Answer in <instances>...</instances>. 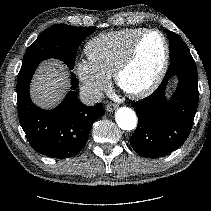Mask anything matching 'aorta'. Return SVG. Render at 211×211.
Listing matches in <instances>:
<instances>
[{"label":"aorta","instance_id":"1","mask_svg":"<svg viewBox=\"0 0 211 211\" xmlns=\"http://www.w3.org/2000/svg\"><path fill=\"white\" fill-rule=\"evenodd\" d=\"M116 123L123 130H133L137 126V116L128 107H120L115 114Z\"/></svg>","mask_w":211,"mask_h":211}]
</instances>
